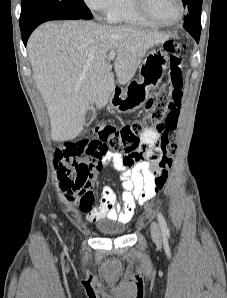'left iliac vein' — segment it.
<instances>
[{"label": "left iliac vein", "mask_w": 227, "mask_h": 298, "mask_svg": "<svg viewBox=\"0 0 227 298\" xmlns=\"http://www.w3.org/2000/svg\"><path fill=\"white\" fill-rule=\"evenodd\" d=\"M151 236L156 243L162 241V232L157 222L151 223Z\"/></svg>", "instance_id": "obj_1"}]
</instances>
